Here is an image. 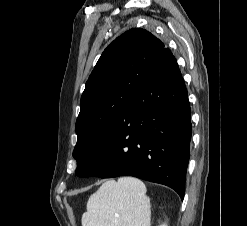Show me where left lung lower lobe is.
Masks as SVG:
<instances>
[{"instance_id": "left-lung-lower-lobe-1", "label": "left lung lower lobe", "mask_w": 247, "mask_h": 226, "mask_svg": "<svg viewBox=\"0 0 247 226\" xmlns=\"http://www.w3.org/2000/svg\"><path fill=\"white\" fill-rule=\"evenodd\" d=\"M188 94L175 57L164 48L127 109L82 168L81 177L130 175L184 198L190 156Z\"/></svg>"}]
</instances>
